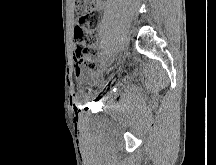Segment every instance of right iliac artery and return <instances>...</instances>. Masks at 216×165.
<instances>
[{
  "instance_id": "1",
  "label": "right iliac artery",
  "mask_w": 216,
  "mask_h": 165,
  "mask_svg": "<svg viewBox=\"0 0 216 165\" xmlns=\"http://www.w3.org/2000/svg\"><path fill=\"white\" fill-rule=\"evenodd\" d=\"M113 50L111 49L108 53H106V57H105V60L103 61L105 64H110L111 63V56L113 55Z\"/></svg>"
}]
</instances>
